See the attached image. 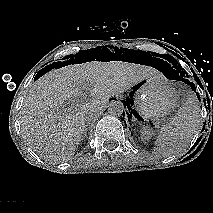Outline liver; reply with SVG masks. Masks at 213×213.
<instances>
[{
    "instance_id": "liver-1",
    "label": "liver",
    "mask_w": 213,
    "mask_h": 213,
    "mask_svg": "<svg viewBox=\"0 0 213 213\" xmlns=\"http://www.w3.org/2000/svg\"><path fill=\"white\" fill-rule=\"evenodd\" d=\"M155 76L160 75L153 68L124 61H90L53 69L32 84L24 99L22 135L40 157L68 161L82 140L89 113L102 111L111 96ZM84 89L90 100L61 110Z\"/></svg>"
}]
</instances>
